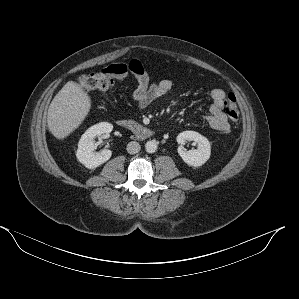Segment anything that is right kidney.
<instances>
[{"label":"right kidney","instance_id":"obj_1","mask_svg":"<svg viewBox=\"0 0 299 299\" xmlns=\"http://www.w3.org/2000/svg\"><path fill=\"white\" fill-rule=\"evenodd\" d=\"M113 125L108 122H102L90 127L82 136L78 143L76 156L80 163L88 169H95L101 164L108 161L112 151L105 149L95 152V137L104 133H110Z\"/></svg>","mask_w":299,"mask_h":299}]
</instances>
